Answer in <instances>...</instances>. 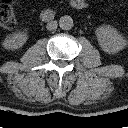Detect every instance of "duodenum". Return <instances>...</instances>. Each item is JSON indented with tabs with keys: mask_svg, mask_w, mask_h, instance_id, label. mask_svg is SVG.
<instances>
[{
	"mask_svg": "<svg viewBox=\"0 0 128 128\" xmlns=\"http://www.w3.org/2000/svg\"><path fill=\"white\" fill-rule=\"evenodd\" d=\"M69 5L76 10L86 8L85 0H69ZM55 18V12L51 9H45L41 12V19L45 22L52 21Z\"/></svg>",
	"mask_w": 128,
	"mask_h": 128,
	"instance_id": "obj_1",
	"label": "duodenum"
}]
</instances>
